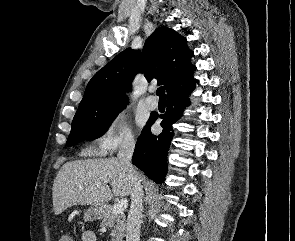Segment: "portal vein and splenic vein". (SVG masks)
<instances>
[{
  "instance_id": "18ae733b",
  "label": "portal vein and splenic vein",
  "mask_w": 295,
  "mask_h": 241,
  "mask_svg": "<svg viewBox=\"0 0 295 241\" xmlns=\"http://www.w3.org/2000/svg\"><path fill=\"white\" fill-rule=\"evenodd\" d=\"M127 206H128V200L126 198L121 199L113 206V212L115 214L123 213L124 210L127 208Z\"/></svg>"
}]
</instances>
